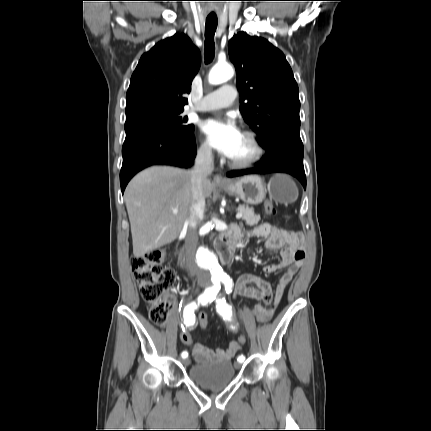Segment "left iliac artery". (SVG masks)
I'll return each mask as SVG.
<instances>
[{
  "label": "left iliac artery",
  "mask_w": 431,
  "mask_h": 431,
  "mask_svg": "<svg viewBox=\"0 0 431 431\" xmlns=\"http://www.w3.org/2000/svg\"><path fill=\"white\" fill-rule=\"evenodd\" d=\"M224 286H225V291L226 293H229L231 291L232 288V280L230 278H225L222 280ZM217 285V284H216ZM215 285V286H216ZM218 289H214L213 291V300L216 299V309L217 312L222 315L224 318L229 319L232 316V309L229 306V304L226 302L224 297H218L216 298V295L218 294ZM245 360V357L243 355L238 357V361L240 363H242Z\"/></svg>",
  "instance_id": "1"
}]
</instances>
